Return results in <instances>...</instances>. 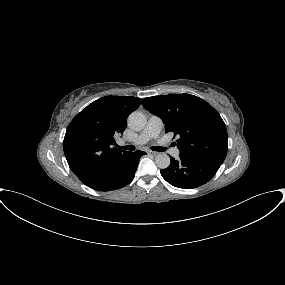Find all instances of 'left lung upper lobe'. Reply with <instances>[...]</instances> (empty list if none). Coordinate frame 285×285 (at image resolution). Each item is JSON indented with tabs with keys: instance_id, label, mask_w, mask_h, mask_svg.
I'll return each mask as SVG.
<instances>
[{
	"instance_id": "1",
	"label": "left lung upper lobe",
	"mask_w": 285,
	"mask_h": 285,
	"mask_svg": "<svg viewBox=\"0 0 285 285\" xmlns=\"http://www.w3.org/2000/svg\"><path fill=\"white\" fill-rule=\"evenodd\" d=\"M142 105L162 119L166 133L179 136L180 155L223 163L227 154L226 126L206 101L191 94H169L144 98Z\"/></svg>"
}]
</instances>
